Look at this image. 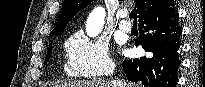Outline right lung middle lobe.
Wrapping results in <instances>:
<instances>
[{"mask_svg":"<svg viewBox=\"0 0 205 87\" xmlns=\"http://www.w3.org/2000/svg\"><path fill=\"white\" fill-rule=\"evenodd\" d=\"M51 53H52V44L49 46V48L47 50V56H46V59H45V64L48 62V60L51 56Z\"/></svg>","mask_w":205,"mask_h":87,"instance_id":"obj_1","label":"right lung middle lobe"}]
</instances>
